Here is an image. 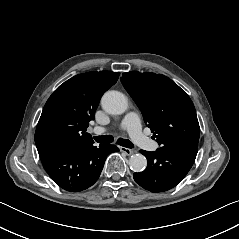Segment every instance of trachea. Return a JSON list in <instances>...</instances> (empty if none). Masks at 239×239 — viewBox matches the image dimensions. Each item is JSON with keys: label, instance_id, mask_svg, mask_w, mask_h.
<instances>
[{"label": "trachea", "instance_id": "trachea-1", "mask_svg": "<svg viewBox=\"0 0 239 239\" xmlns=\"http://www.w3.org/2000/svg\"><path fill=\"white\" fill-rule=\"evenodd\" d=\"M94 139L98 143H112L114 140L113 136H111V135L96 136V137H94ZM117 144H119L122 147H126V148L134 147V144L128 139L119 138L117 140Z\"/></svg>", "mask_w": 239, "mask_h": 239}]
</instances>
